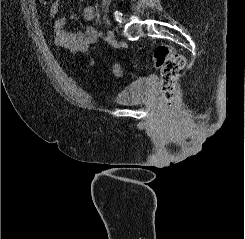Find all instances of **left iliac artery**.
<instances>
[{
    "label": "left iliac artery",
    "instance_id": "obj_1",
    "mask_svg": "<svg viewBox=\"0 0 245 239\" xmlns=\"http://www.w3.org/2000/svg\"><path fill=\"white\" fill-rule=\"evenodd\" d=\"M98 36L100 37V38H102L103 36H104V33H103V31H99V33H98Z\"/></svg>",
    "mask_w": 245,
    "mask_h": 239
}]
</instances>
